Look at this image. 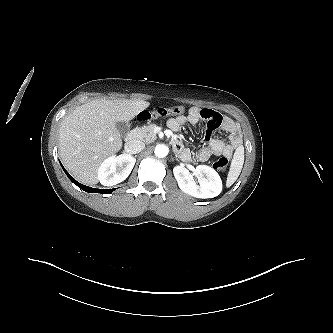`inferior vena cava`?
Listing matches in <instances>:
<instances>
[{"mask_svg": "<svg viewBox=\"0 0 333 333\" xmlns=\"http://www.w3.org/2000/svg\"><path fill=\"white\" fill-rule=\"evenodd\" d=\"M125 152L128 154H136L141 152L145 148V144L142 141L134 140L125 144Z\"/></svg>", "mask_w": 333, "mask_h": 333, "instance_id": "1", "label": "inferior vena cava"}]
</instances>
